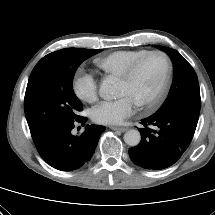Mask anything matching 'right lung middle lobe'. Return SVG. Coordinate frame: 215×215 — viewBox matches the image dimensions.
<instances>
[{"instance_id":"right-lung-middle-lobe-1","label":"right lung middle lobe","mask_w":215,"mask_h":215,"mask_svg":"<svg viewBox=\"0 0 215 215\" xmlns=\"http://www.w3.org/2000/svg\"><path fill=\"white\" fill-rule=\"evenodd\" d=\"M101 49L66 48L43 57L27 84L24 109L34 142L77 120L82 103L72 81L78 66Z\"/></svg>"}]
</instances>
